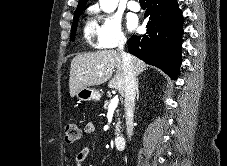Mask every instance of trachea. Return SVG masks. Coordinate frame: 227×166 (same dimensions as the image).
<instances>
[{
  "mask_svg": "<svg viewBox=\"0 0 227 166\" xmlns=\"http://www.w3.org/2000/svg\"><path fill=\"white\" fill-rule=\"evenodd\" d=\"M140 3H145V0H139Z\"/></svg>",
  "mask_w": 227,
  "mask_h": 166,
  "instance_id": "trachea-1",
  "label": "trachea"
}]
</instances>
